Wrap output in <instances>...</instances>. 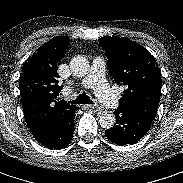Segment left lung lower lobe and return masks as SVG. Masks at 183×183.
<instances>
[{"mask_svg": "<svg viewBox=\"0 0 183 183\" xmlns=\"http://www.w3.org/2000/svg\"><path fill=\"white\" fill-rule=\"evenodd\" d=\"M116 124L105 131L107 138L118 145L134 144L149 130L151 122L139 115L117 109L114 111Z\"/></svg>", "mask_w": 183, "mask_h": 183, "instance_id": "0a47b994", "label": "left lung lower lobe"}]
</instances>
